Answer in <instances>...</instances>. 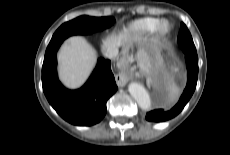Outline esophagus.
Returning a JSON list of instances; mask_svg holds the SVG:
<instances>
[{
  "label": "esophagus",
  "mask_w": 230,
  "mask_h": 155,
  "mask_svg": "<svg viewBox=\"0 0 230 155\" xmlns=\"http://www.w3.org/2000/svg\"><path fill=\"white\" fill-rule=\"evenodd\" d=\"M115 80L118 87H124L129 81V76L126 73L121 72L116 75Z\"/></svg>",
  "instance_id": "esophagus-1"
}]
</instances>
